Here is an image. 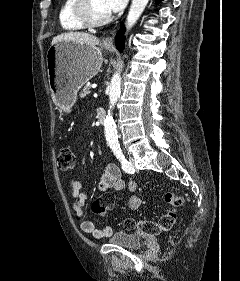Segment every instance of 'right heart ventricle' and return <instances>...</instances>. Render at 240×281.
Instances as JSON below:
<instances>
[{"label": "right heart ventricle", "mask_w": 240, "mask_h": 281, "mask_svg": "<svg viewBox=\"0 0 240 281\" xmlns=\"http://www.w3.org/2000/svg\"><path fill=\"white\" fill-rule=\"evenodd\" d=\"M75 0H64L59 10V22L65 31H80L86 28L74 15Z\"/></svg>", "instance_id": "obj_1"}]
</instances>
